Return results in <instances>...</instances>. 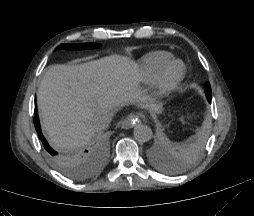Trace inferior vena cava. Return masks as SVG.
Returning <instances> with one entry per match:
<instances>
[{
	"mask_svg": "<svg viewBox=\"0 0 254 216\" xmlns=\"http://www.w3.org/2000/svg\"><path fill=\"white\" fill-rule=\"evenodd\" d=\"M113 113L110 110H100L91 118V126L95 131H101L108 127Z\"/></svg>",
	"mask_w": 254,
	"mask_h": 216,
	"instance_id": "602c4592",
	"label": "inferior vena cava"
}]
</instances>
